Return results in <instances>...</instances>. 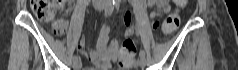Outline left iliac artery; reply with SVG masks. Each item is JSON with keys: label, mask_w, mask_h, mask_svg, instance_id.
<instances>
[{"label": "left iliac artery", "mask_w": 238, "mask_h": 70, "mask_svg": "<svg viewBox=\"0 0 238 70\" xmlns=\"http://www.w3.org/2000/svg\"><path fill=\"white\" fill-rule=\"evenodd\" d=\"M115 6H116V8H119V6H120V1H119V0H116V2H115ZM139 56L142 57V58H145V52H144L143 49L140 50V52H139Z\"/></svg>", "instance_id": "left-iliac-artery-1"}]
</instances>
